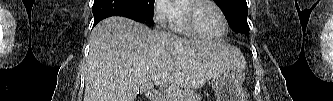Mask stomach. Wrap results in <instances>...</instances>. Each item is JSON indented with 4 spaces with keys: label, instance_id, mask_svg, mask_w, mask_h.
Masks as SVG:
<instances>
[{
    "label": "stomach",
    "instance_id": "0dacf381",
    "mask_svg": "<svg viewBox=\"0 0 333 101\" xmlns=\"http://www.w3.org/2000/svg\"><path fill=\"white\" fill-rule=\"evenodd\" d=\"M240 62L244 61L239 53ZM244 69L240 65L229 67L211 79L212 88L216 94V101H246L243 81Z\"/></svg>",
    "mask_w": 333,
    "mask_h": 101
}]
</instances>
